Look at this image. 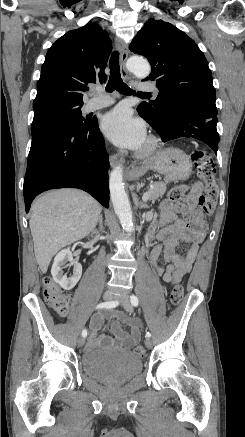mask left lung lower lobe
Here are the masks:
<instances>
[{
    "mask_svg": "<svg viewBox=\"0 0 245 437\" xmlns=\"http://www.w3.org/2000/svg\"><path fill=\"white\" fill-rule=\"evenodd\" d=\"M159 134L163 142L178 138H194L209 145L217 154V112L190 100L168 103L160 115L140 113Z\"/></svg>",
    "mask_w": 245,
    "mask_h": 437,
    "instance_id": "obj_1",
    "label": "left lung lower lobe"
}]
</instances>
